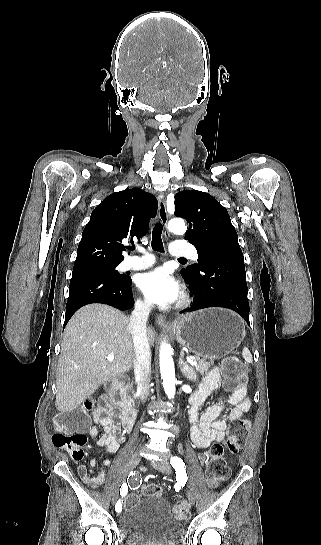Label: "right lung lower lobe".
<instances>
[{"mask_svg":"<svg viewBox=\"0 0 321 545\" xmlns=\"http://www.w3.org/2000/svg\"><path fill=\"white\" fill-rule=\"evenodd\" d=\"M131 283L127 275L119 279L90 270L73 272L65 324L79 308L91 303H103L123 311L132 308Z\"/></svg>","mask_w":321,"mask_h":545,"instance_id":"1","label":"right lung lower lobe"}]
</instances>
